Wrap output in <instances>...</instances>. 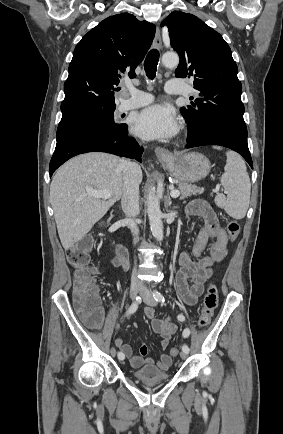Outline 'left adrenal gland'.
<instances>
[{"label": "left adrenal gland", "instance_id": "a2214340", "mask_svg": "<svg viewBox=\"0 0 283 434\" xmlns=\"http://www.w3.org/2000/svg\"><path fill=\"white\" fill-rule=\"evenodd\" d=\"M170 204H171V201H170V198H168L166 201V204H165L166 208H168Z\"/></svg>", "mask_w": 283, "mask_h": 434}]
</instances>
